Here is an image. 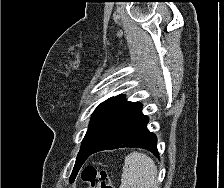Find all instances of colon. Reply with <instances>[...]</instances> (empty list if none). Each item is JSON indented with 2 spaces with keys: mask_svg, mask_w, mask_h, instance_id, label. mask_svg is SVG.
<instances>
[{
  "mask_svg": "<svg viewBox=\"0 0 224 188\" xmlns=\"http://www.w3.org/2000/svg\"><path fill=\"white\" fill-rule=\"evenodd\" d=\"M81 179L87 188H114L112 182L103 172L99 173L94 167H86Z\"/></svg>",
  "mask_w": 224,
  "mask_h": 188,
  "instance_id": "1",
  "label": "colon"
}]
</instances>
